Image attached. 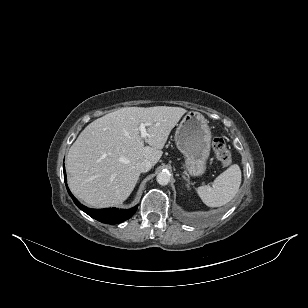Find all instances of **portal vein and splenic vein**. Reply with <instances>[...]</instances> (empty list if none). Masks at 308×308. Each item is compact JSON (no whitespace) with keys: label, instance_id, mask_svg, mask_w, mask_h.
<instances>
[{"label":"portal vein and splenic vein","instance_id":"portal-vein-and-splenic-vein-1","mask_svg":"<svg viewBox=\"0 0 308 308\" xmlns=\"http://www.w3.org/2000/svg\"><path fill=\"white\" fill-rule=\"evenodd\" d=\"M152 123H141L139 125V131L142 139H146L148 137V133L146 127L151 125Z\"/></svg>","mask_w":308,"mask_h":308}]
</instances>
